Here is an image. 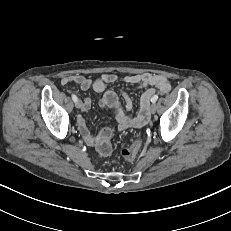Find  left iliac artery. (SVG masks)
Segmentation results:
<instances>
[{"label": "left iliac artery", "mask_w": 231, "mask_h": 231, "mask_svg": "<svg viewBox=\"0 0 231 231\" xmlns=\"http://www.w3.org/2000/svg\"><path fill=\"white\" fill-rule=\"evenodd\" d=\"M158 99V95H154L152 98H151V102L152 103H155Z\"/></svg>", "instance_id": "1"}]
</instances>
